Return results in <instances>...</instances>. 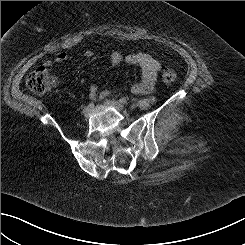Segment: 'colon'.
Returning a JSON list of instances; mask_svg holds the SVG:
<instances>
[{"mask_svg": "<svg viewBox=\"0 0 245 245\" xmlns=\"http://www.w3.org/2000/svg\"><path fill=\"white\" fill-rule=\"evenodd\" d=\"M176 78L177 74L171 68H165L161 75V79L166 85L174 83ZM50 82V73L45 66H41L31 72L26 79L27 87L36 94H44L48 90Z\"/></svg>", "mask_w": 245, "mask_h": 245, "instance_id": "5ec220e1", "label": "colon"}]
</instances>
